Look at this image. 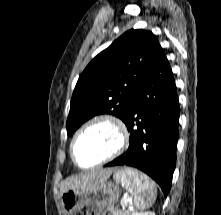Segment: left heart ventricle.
Returning <instances> with one entry per match:
<instances>
[{
	"instance_id": "obj_1",
	"label": "left heart ventricle",
	"mask_w": 221,
	"mask_h": 215,
	"mask_svg": "<svg viewBox=\"0 0 221 215\" xmlns=\"http://www.w3.org/2000/svg\"><path fill=\"white\" fill-rule=\"evenodd\" d=\"M117 144L115 131L106 125H95L86 130L76 141L74 154L82 166L92 165L114 150Z\"/></svg>"
}]
</instances>
